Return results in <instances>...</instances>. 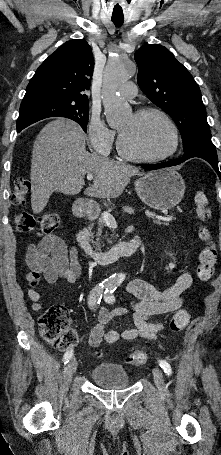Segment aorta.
<instances>
[{"mask_svg": "<svg viewBox=\"0 0 221 455\" xmlns=\"http://www.w3.org/2000/svg\"><path fill=\"white\" fill-rule=\"evenodd\" d=\"M136 72L135 64L130 60L119 58L111 59L104 72L102 87V101L105 109L106 119L111 127L120 124L131 114L129 104L116 96V91L120 84L126 82ZM121 274L111 276V282H118Z\"/></svg>", "mask_w": 221, "mask_h": 455, "instance_id": "aorta-1", "label": "aorta"}]
</instances>
